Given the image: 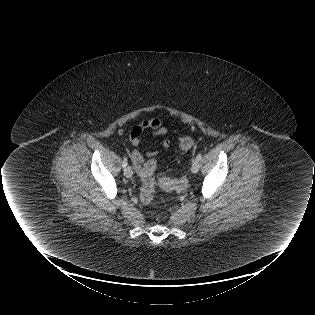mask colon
<instances>
[{
  "mask_svg": "<svg viewBox=\"0 0 315 315\" xmlns=\"http://www.w3.org/2000/svg\"><path fill=\"white\" fill-rule=\"evenodd\" d=\"M192 137H184L179 141V148L182 151H189L194 146ZM157 162L154 158H150L142 167L140 177L142 185L140 189V199L143 203H150L154 198L155 193V171Z\"/></svg>",
  "mask_w": 315,
  "mask_h": 315,
  "instance_id": "colon-1",
  "label": "colon"
}]
</instances>
